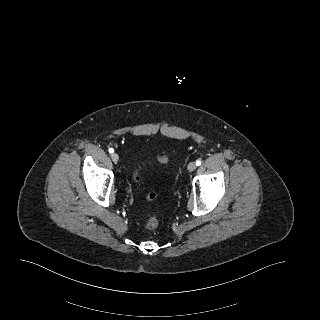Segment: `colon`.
I'll return each mask as SVG.
<instances>
[{"instance_id": "5ec220e1", "label": "colon", "mask_w": 320, "mask_h": 320, "mask_svg": "<svg viewBox=\"0 0 320 320\" xmlns=\"http://www.w3.org/2000/svg\"><path fill=\"white\" fill-rule=\"evenodd\" d=\"M158 160L162 163H166L169 160V158L167 156H160L158 158ZM133 180L135 182H138L140 180V177L137 173L133 174ZM146 198L149 201L153 202L157 198V193L154 191H151L146 194ZM158 224H159V220H158L157 215L154 212H151V214L145 220L146 228L155 229V228H157Z\"/></svg>"}]
</instances>
